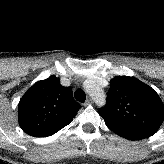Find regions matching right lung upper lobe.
<instances>
[{
    "label": "right lung upper lobe",
    "instance_id": "cb5924a9",
    "mask_svg": "<svg viewBox=\"0 0 164 164\" xmlns=\"http://www.w3.org/2000/svg\"><path fill=\"white\" fill-rule=\"evenodd\" d=\"M80 107L71 88L50 76L36 82L20 99L19 125L25 133L39 137L70 123Z\"/></svg>",
    "mask_w": 164,
    "mask_h": 164
}]
</instances>
